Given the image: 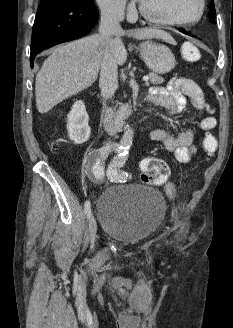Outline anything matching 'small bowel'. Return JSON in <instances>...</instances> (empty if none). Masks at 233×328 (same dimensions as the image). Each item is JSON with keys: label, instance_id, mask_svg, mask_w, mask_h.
Masks as SVG:
<instances>
[{"label": "small bowel", "instance_id": "c3829d8e", "mask_svg": "<svg viewBox=\"0 0 233 328\" xmlns=\"http://www.w3.org/2000/svg\"><path fill=\"white\" fill-rule=\"evenodd\" d=\"M148 99L167 110L171 115H187L192 118H199V127L204 131L213 130L217 125V119L214 116H203L211 113L212 109L207 103L200 86L189 78H172L166 86H155L150 89ZM190 100L194 106L195 112L187 111V100ZM153 141L161 142L165 149L172 152L180 163H188L197 152L194 144V132L187 129L178 135L174 134L173 124L164 128L154 129L150 133ZM165 192L169 197H174L176 193L172 182L165 184ZM113 286L124 293L133 288V283L123 277H115Z\"/></svg>", "mask_w": 233, "mask_h": 328}]
</instances>
